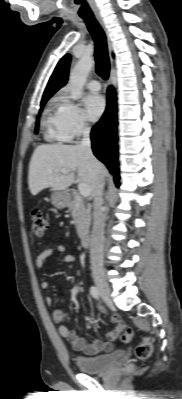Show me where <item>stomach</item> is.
I'll list each match as a JSON object with an SVG mask.
<instances>
[{"label": "stomach", "instance_id": "0dacf381", "mask_svg": "<svg viewBox=\"0 0 182 399\" xmlns=\"http://www.w3.org/2000/svg\"><path fill=\"white\" fill-rule=\"evenodd\" d=\"M51 201L56 208L63 209L69 205L70 198L69 195L64 191H56L52 193Z\"/></svg>", "mask_w": 182, "mask_h": 399}]
</instances>
